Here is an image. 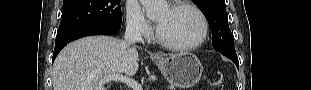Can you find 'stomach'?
Segmentation results:
<instances>
[{"label": "stomach", "mask_w": 311, "mask_h": 90, "mask_svg": "<svg viewBox=\"0 0 311 90\" xmlns=\"http://www.w3.org/2000/svg\"><path fill=\"white\" fill-rule=\"evenodd\" d=\"M154 62L169 83L182 89L194 86L203 72L199 59L188 52L154 58Z\"/></svg>", "instance_id": "0dacf381"}]
</instances>
